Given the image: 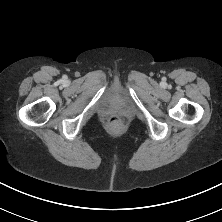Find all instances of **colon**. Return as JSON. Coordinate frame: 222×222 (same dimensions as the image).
<instances>
[{"label": "colon", "instance_id": "colon-1", "mask_svg": "<svg viewBox=\"0 0 222 222\" xmlns=\"http://www.w3.org/2000/svg\"><path fill=\"white\" fill-rule=\"evenodd\" d=\"M109 124L112 127H120V126H122L123 122H122L121 117L114 115L109 119Z\"/></svg>", "mask_w": 222, "mask_h": 222}]
</instances>
